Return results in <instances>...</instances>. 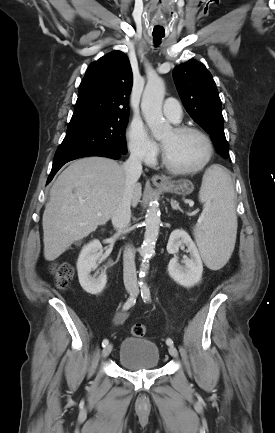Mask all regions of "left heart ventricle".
<instances>
[{
  "label": "left heart ventricle",
  "instance_id": "b2bd125f",
  "mask_svg": "<svg viewBox=\"0 0 275 433\" xmlns=\"http://www.w3.org/2000/svg\"><path fill=\"white\" fill-rule=\"evenodd\" d=\"M160 141L169 161L176 167H196L203 162L207 154L205 141L196 133L178 134L170 129Z\"/></svg>",
  "mask_w": 275,
  "mask_h": 433
}]
</instances>
